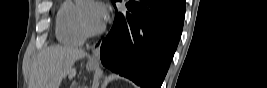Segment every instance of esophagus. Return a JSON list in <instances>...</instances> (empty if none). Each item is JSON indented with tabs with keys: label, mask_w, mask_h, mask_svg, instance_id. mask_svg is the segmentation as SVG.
I'll use <instances>...</instances> for the list:
<instances>
[{
	"label": "esophagus",
	"mask_w": 267,
	"mask_h": 88,
	"mask_svg": "<svg viewBox=\"0 0 267 88\" xmlns=\"http://www.w3.org/2000/svg\"><path fill=\"white\" fill-rule=\"evenodd\" d=\"M99 56H100V49L99 48L94 49L89 58V62L97 63L99 61Z\"/></svg>",
	"instance_id": "34e87169"
}]
</instances>
